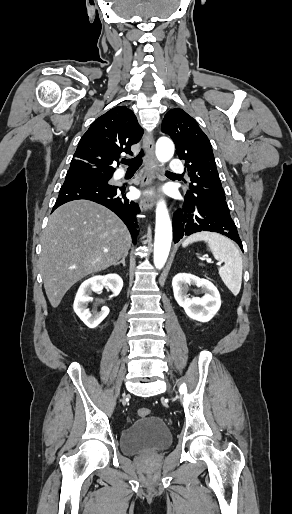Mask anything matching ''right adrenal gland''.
<instances>
[{
    "instance_id": "right-adrenal-gland-1",
    "label": "right adrenal gland",
    "mask_w": 292,
    "mask_h": 514,
    "mask_svg": "<svg viewBox=\"0 0 292 514\" xmlns=\"http://www.w3.org/2000/svg\"><path fill=\"white\" fill-rule=\"evenodd\" d=\"M125 258H126V256H124V258H122L121 262H118V264H114V266H119V264H122V266H126Z\"/></svg>"
}]
</instances>
